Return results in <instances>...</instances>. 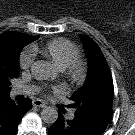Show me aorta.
I'll list each match as a JSON object with an SVG mask.
<instances>
[{"mask_svg":"<svg viewBox=\"0 0 135 135\" xmlns=\"http://www.w3.org/2000/svg\"><path fill=\"white\" fill-rule=\"evenodd\" d=\"M31 72L36 80H48L56 76L52 65L42 60L33 63ZM41 118L47 124H54L58 119V111L54 107H45L41 112Z\"/></svg>","mask_w":135,"mask_h":135,"instance_id":"obj_1","label":"aorta"}]
</instances>
